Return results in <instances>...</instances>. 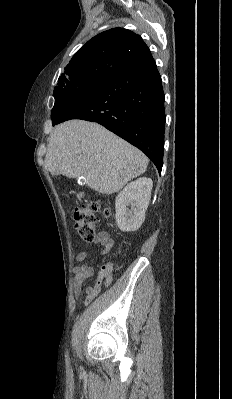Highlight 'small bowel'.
I'll list each match as a JSON object with an SVG mask.
<instances>
[{"label": "small bowel", "mask_w": 232, "mask_h": 399, "mask_svg": "<svg viewBox=\"0 0 232 399\" xmlns=\"http://www.w3.org/2000/svg\"><path fill=\"white\" fill-rule=\"evenodd\" d=\"M111 242H105L102 244L99 253L106 254L109 249L111 248ZM89 257V251L83 250L78 253L77 261L78 265L74 268V278H73V288L74 299H78L81 294L82 285L84 284L85 280L91 273L90 267L86 265L87 259ZM93 296V287L88 286L86 288V299L85 304H87Z\"/></svg>", "instance_id": "small-bowel-1"}]
</instances>
